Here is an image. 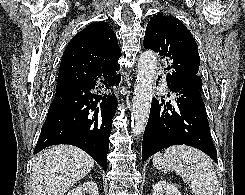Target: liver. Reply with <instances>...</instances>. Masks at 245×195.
<instances>
[{
	"label": "liver",
	"instance_id": "6515ba94",
	"mask_svg": "<svg viewBox=\"0 0 245 195\" xmlns=\"http://www.w3.org/2000/svg\"><path fill=\"white\" fill-rule=\"evenodd\" d=\"M94 166V160L71 145H56L37 155L31 180L33 195H64Z\"/></svg>",
	"mask_w": 245,
	"mask_h": 195
}]
</instances>
